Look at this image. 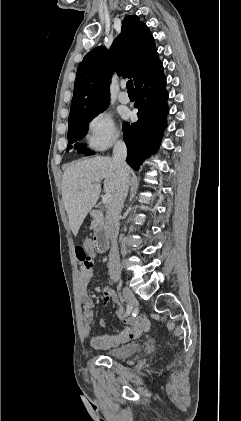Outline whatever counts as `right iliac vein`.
I'll return each mask as SVG.
<instances>
[{
	"label": "right iliac vein",
	"mask_w": 241,
	"mask_h": 421,
	"mask_svg": "<svg viewBox=\"0 0 241 421\" xmlns=\"http://www.w3.org/2000/svg\"><path fill=\"white\" fill-rule=\"evenodd\" d=\"M119 286L122 287L121 283L119 284ZM122 293L128 305L133 308L137 303L134 294L127 287H122Z\"/></svg>",
	"instance_id": "right-iliac-vein-1"
}]
</instances>
